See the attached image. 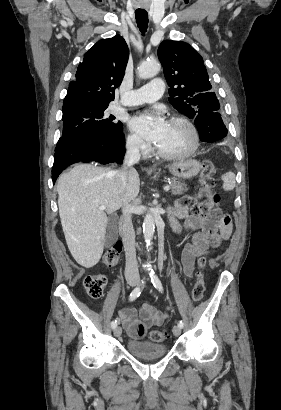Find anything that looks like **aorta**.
I'll use <instances>...</instances> for the list:
<instances>
[{
    "instance_id": "762f6f07",
    "label": "aorta",
    "mask_w": 281,
    "mask_h": 410,
    "mask_svg": "<svg viewBox=\"0 0 281 410\" xmlns=\"http://www.w3.org/2000/svg\"><path fill=\"white\" fill-rule=\"evenodd\" d=\"M160 64L157 61H146L138 67V76L141 79H149L157 75ZM155 232L154 218L152 214H146L143 222V234L145 242L150 245Z\"/></svg>"
}]
</instances>
